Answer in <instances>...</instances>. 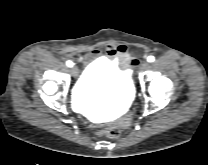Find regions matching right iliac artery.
Here are the masks:
<instances>
[{"label":"right iliac artery","instance_id":"obj_1","mask_svg":"<svg viewBox=\"0 0 208 165\" xmlns=\"http://www.w3.org/2000/svg\"><path fill=\"white\" fill-rule=\"evenodd\" d=\"M66 64H67L68 67H72L73 66V62L72 61H67Z\"/></svg>","mask_w":208,"mask_h":165}]
</instances>
